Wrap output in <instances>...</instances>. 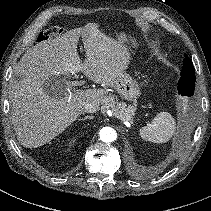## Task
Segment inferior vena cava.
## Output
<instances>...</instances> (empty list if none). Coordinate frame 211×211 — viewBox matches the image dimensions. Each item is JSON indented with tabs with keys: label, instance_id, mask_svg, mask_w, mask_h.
<instances>
[{
	"label": "inferior vena cava",
	"instance_id": "inferior-vena-cava-1",
	"mask_svg": "<svg viewBox=\"0 0 211 211\" xmlns=\"http://www.w3.org/2000/svg\"><path fill=\"white\" fill-rule=\"evenodd\" d=\"M84 111L87 113H95L98 111V106L93 103H86L84 105Z\"/></svg>",
	"mask_w": 211,
	"mask_h": 211
}]
</instances>
